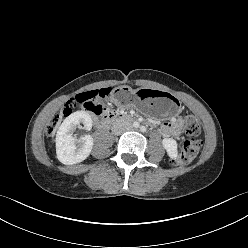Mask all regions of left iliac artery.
I'll return each mask as SVG.
<instances>
[{
  "label": "left iliac artery",
  "mask_w": 248,
  "mask_h": 248,
  "mask_svg": "<svg viewBox=\"0 0 248 248\" xmlns=\"http://www.w3.org/2000/svg\"><path fill=\"white\" fill-rule=\"evenodd\" d=\"M141 130H142V131H144V130H145V128H144V127H141Z\"/></svg>",
  "instance_id": "obj_1"
}]
</instances>
